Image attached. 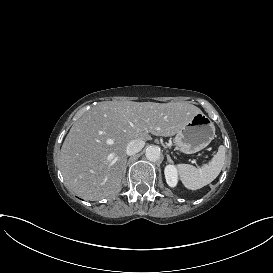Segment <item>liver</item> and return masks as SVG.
Wrapping results in <instances>:
<instances>
[{"label":"liver","mask_w":273,"mask_h":273,"mask_svg":"<svg viewBox=\"0 0 273 273\" xmlns=\"http://www.w3.org/2000/svg\"><path fill=\"white\" fill-rule=\"evenodd\" d=\"M202 111L188 103L104 102L72 126L61 148V171L68 186L85 200L121 189L126 147L134 139L171 136Z\"/></svg>","instance_id":"obj_1"}]
</instances>
